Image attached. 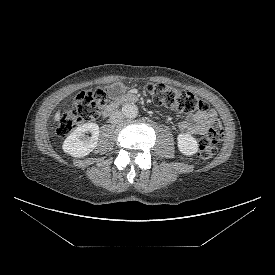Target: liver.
<instances>
[{
  "label": "liver",
  "instance_id": "1",
  "mask_svg": "<svg viewBox=\"0 0 275 275\" xmlns=\"http://www.w3.org/2000/svg\"><path fill=\"white\" fill-rule=\"evenodd\" d=\"M60 117H61L60 111H57V112L55 113L54 120H55L56 122H58V121H60Z\"/></svg>",
  "mask_w": 275,
  "mask_h": 275
}]
</instances>
